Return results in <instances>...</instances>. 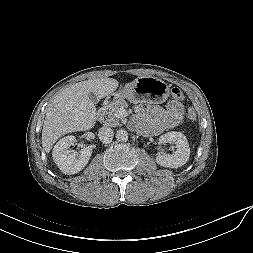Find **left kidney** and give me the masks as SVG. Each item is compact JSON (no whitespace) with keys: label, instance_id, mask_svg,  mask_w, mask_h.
<instances>
[{"label":"left kidney","instance_id":"5707ae66","mask_svg":"<svg viewBox=\"0 0 253 253\" xmlns=\"http://www.w3.org/2000/svg\"><path fill=\"white\" fill-rule=\"evenodd\" d=\"M159 141L161 143H174L177 149L172 154H159L156 157L157 164L163 167L178 168L189 160V144L186 136L181 132H167L160 136Z\"/></svg>","mask_w":253,"mask_h":253}]
</instances>
